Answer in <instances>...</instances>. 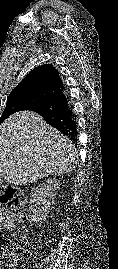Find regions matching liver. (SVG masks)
Returning a JSON list of instances; mask_svg holds the SVG:
<instances>
[{
	"instance_id": "1",
	"label": "liver",
	"mask_w": 118,
	"mask_h": 269,
	"mask_svg": "<svg viewBox=\"0 0 118 269\" xmlns=\"http://www.w3.org/2000/svg\"><path fill=\"white\" fill-rule=\"evenodd\" d=\"M78 162L75 145L32 111L0 125V179L27 185L48 175L68 173Z\"/></svg>"
}]
</instances>
